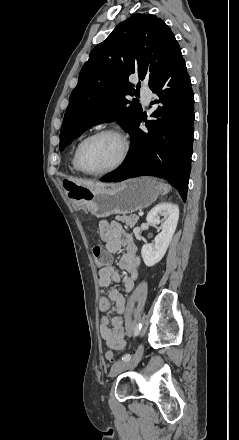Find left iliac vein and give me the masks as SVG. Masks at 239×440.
<instances>
[{
  "label": "left iliac vein",
  "instance_id": "1",
  "mask_svg": "<svg viewBox=\"0 0 239 440\" xmlns=\"http://www.w3.org/2000/svg\"><path fill=\"white\" fill-rule=\"evenodd\" d=\"M142 355H143V346L139 345L133 358L129 360H119L113 364L110 370V376L115 377L122 371L134 368L141 360Z\"/></svg>",
  "mask_w": 239,
  "mask_h": 440
}]
</instances>
